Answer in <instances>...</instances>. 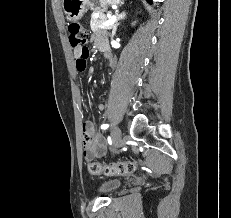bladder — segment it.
Segmentation results:
<instances>
[{
	"mask_svg": "<svg viewBox=\"0 0 231 218\" xmlns=\"http://www.w3.org/2000/svg\"><path fill=\"white\" fill-rule=\"evenodd\" d=\"M121 185H122L121 180L112 179V180H108V181L103 182L100 185L99 190L102 193L108 194V193H111V192L117 190Z\"/></svg>",
	"mask_w": 231,
	"mask_h": 218,
	"instance_id": "bladder-1",
	"label": "bladder"
}]
</instances>
